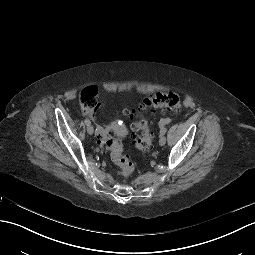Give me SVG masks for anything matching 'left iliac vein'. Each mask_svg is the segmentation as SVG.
I'll list each match as a JSON object with an SVG mask.
<instances>
[{
	"label": "left iliac vein",
	"mask_w": 255,
	"mask_h": 255,
	"mask_svg": "<svg viewBox=\"0 0 255 255\" xmlns=\"http://www.w3.org/2000/svg\"><path fill=\"white\" fill-rule=\"evenodd\" d=\"M165 143H166V137L161 135V137L159 139V145L163 146V145H165Z\"/></svg>",
	"instance_id": "1"
}]
</instances>
